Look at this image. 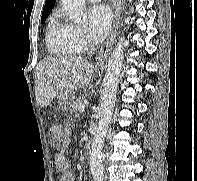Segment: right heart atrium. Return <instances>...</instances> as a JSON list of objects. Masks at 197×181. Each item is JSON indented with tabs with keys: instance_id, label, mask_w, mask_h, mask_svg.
<instances>
[{
	"instance_id": "d8ad5b80",
	"label": "right heart atrium",
	"mask_w": 197,
	"mask_h": 181,
	"mask_svg": "<svg viewBox=\"0 0 197 181\" xmlns=\"http://www.w3.org/2000/svg\"><path fill=\"white\" fill-rule=\"evenodd\" d=\"M74 33H75L76 42L80 50L88 49L92 41L89 35L87 34V32L85 30L74 27Z\"/></svg>"
}]
</instances>
